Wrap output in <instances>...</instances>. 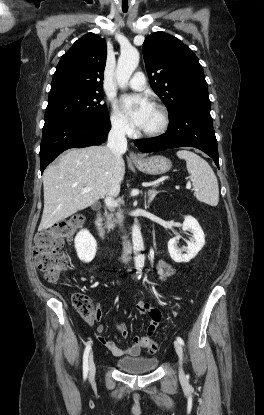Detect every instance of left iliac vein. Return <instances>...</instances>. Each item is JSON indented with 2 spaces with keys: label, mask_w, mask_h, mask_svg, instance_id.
I'll use <instances>...</instances> for the list:
<instances>
[{
  "label": "left iliac vein",
  "mask_w": 264,
  "mask_h": 415,
  "mask_svg": "<svg viewBox=\"0 0 264 415\" xmlns=\"http://www.w3.org/2000/svg\"><path fill=\"white\" fill-rule=\"evenodd\" d=\"M174 347H175V350H176V352H177V354L179 356V359H180L179 376L181 378H184L185 377V374H184V371L182 369V358H183L182 346H181V344L178 341H174Z\"/></svg>",
  "instance_id": "4c4485c4"
}]
</instances>
